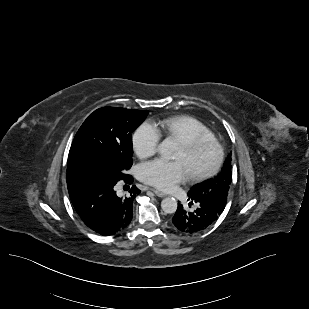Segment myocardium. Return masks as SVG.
<instances>
[{
    "mask_svg": "<svg viewBox=\"0 0 309 309\" xmlns=\"http://www.w3.org/2000/svg\"><path fill=\"white\" fill-rule=\"evenodd\" d=\"M182 145L189 155L199 153L204 149H211L214 153L212 162L204 169L191 173L192 180L199 181L215 174L221 166L224 158L222 145L214 138H197L182 141Z\"/></svg>",
    "mask_w": 309,
    "mask_h": 309,
    "instance_id": "obj_1",
    "label": "myocardium"
}]
</instances>
